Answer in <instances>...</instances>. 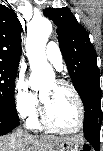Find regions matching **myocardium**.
<instances>
[{
    "mask_svg": "<svg viewBox=\"0 0 103 151\" xmlns=\"http://www.w3.org/2000/svg\"><path fill=\"white\" fill-rule=\"evenodd\" d=\"M55 83L58 86L67 88L74 96L78 109H79V123H78L77 127L73 128V129H65V128H61V127L55 125L48 116L47 108H46L44 101H42V106L40 108V120L46 128H48L49 130H51L53 132L64 133V134L78 133L84 128L85 122H86V110H85V105L82 100V97L79 94V92L77 91V89L74 87V85H72L70 82H68L64 79H58L55 81Z\"/></svg>",
    "mask_w": 103,
    "mask_h": 151,
    "instance_id": "f54148a6",
    "label": "myocardium"
}]
</instances>
